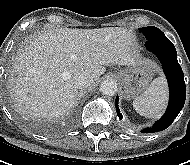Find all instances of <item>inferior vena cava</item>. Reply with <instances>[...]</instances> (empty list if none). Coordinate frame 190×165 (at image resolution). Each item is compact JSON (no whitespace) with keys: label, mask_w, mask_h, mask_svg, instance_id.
I'll list each match as a JSON object with an SVG mask.
<instances>
[{"label":"inferior vena cava","mask_w":190,"mask_h":165,"mask_svg":"<svg viewBox=\"0 0 190 165\" xmlns=\"http://www.w3.org/2000/svg\"><path fill=\"white\" fill-rule=\"evenodd\" d=\"M73 81L78 89H82L90 86L93 83L94 79L92 75L86 72H78L74 75Z\"/></svg>","instance_id":"obj_1"}]
</instances>
